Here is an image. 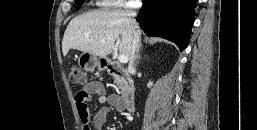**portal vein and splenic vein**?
<instances>
[{"mask_svg":"<svg viewBox=\"0 0 257 130\" xmlns=\"http://www.w3.org/2000/svg\"><path fill=\"white\" fill-rule=\"evenodd\" d=\"M118 60L121 62V63H127L128 62V57L125 56V55H120L118 57Z\"/></svg>","mask_w":257,"mask_h":130,"instance_id":"obj_1","label":"portal vein and splenic vein"}]
</instances>
